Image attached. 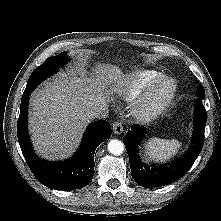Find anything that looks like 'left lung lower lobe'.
I'll list each match as a JSON object with an SVG mask.
<instances>
[{
	"mask_svg": "<svg viewBox=\"0 0 221 221\" xmlns=\"http://www.w3.org/2000/svg\"><path fill=\"white\" fill-rule=\"evenodd\" d=\"M202 100H196L194 132L188 151L177 160L162 165H145L138 156V145L145 135V127L133 125L124 137L129 156L131 175L143 187H159L172 183L186 174L202 150L207 119Z\"/></svg>",
	"mask_w": 221,
	"mask_h": 221,
	"instance_id": "obj_1",
	"label": "left lung lower lobe"
}]
</instances>
